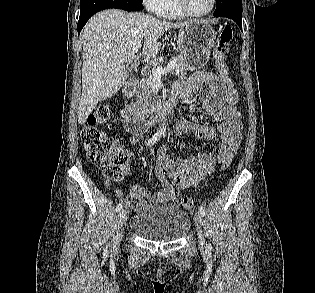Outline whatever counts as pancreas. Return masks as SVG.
<instances>
[{"label": "pancreas", "mask_w": 315, "mask_h": 293, "mask_svg": "<svg viewBox=\"0 0 315 293\" xmlns=\"http://www.w3.org/2000/svg\"><path fill=\"white\" fill-rule=\"evenodd\" d=\"M174 60L177 61V66L174 69V74L179 79L186 78V70L188 69L187 58L183 55L177 56ZM155 96V89L153 87V75L141 80L136 90L137 101L132 103V108L140 114H146L150 109V99Z\"/></svg>", "instance_id": "1"}]
</instances>
